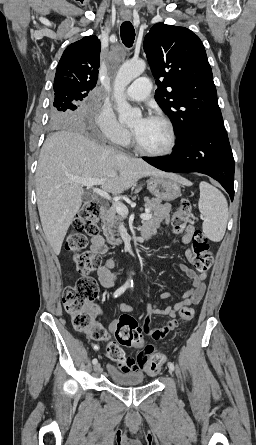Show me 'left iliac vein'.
Returning a JSON list of instances; mask_svg holds the SVG:
<instances>
[{
    "label": "left iliac vein",
    "instance_id": "left-iliac-vein-1",
    "mask_svg": "<svg viewBox=\"0 0 256 445\" xmlns=\"http://www.w3.org/2000/svg\"><path fill=\"white\" fill-rule=\"evenodd\" d=\"M172 371H173V370H171V369L169 368V372L172 373Z\"/></svg>",
    "mask_w": 256,
    "mask_h": 445
}]
</instances>
